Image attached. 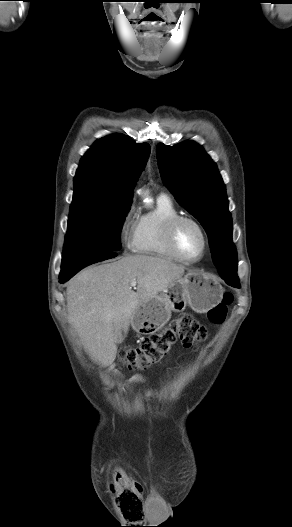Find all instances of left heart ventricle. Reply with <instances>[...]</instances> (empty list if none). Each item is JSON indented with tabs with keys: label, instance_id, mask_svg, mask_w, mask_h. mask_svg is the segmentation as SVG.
Masks as SVG:
<instances>
[{
	"label": "left heart ventricle",
	"instance_id": "obj_1",
	"mask_svg": "<svg viewBox=\"0 0 292 527\" xmlns=\"http://www.w3.org/2000/svg\"><path fill=\"white\" fill-rule=\"evenodd\" d=\"M176 243L180 253L188 259H195L202 252V235L192 223L184 222L179 226L176 233Z\"/></svg>",
	"mask_w": 292,
	"mask_h": 527
}]
</instances>
